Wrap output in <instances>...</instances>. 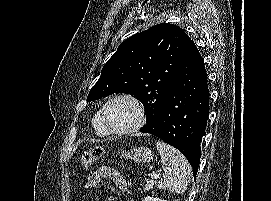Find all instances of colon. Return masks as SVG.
<instances>
[{
	"mask_svg": "<svg viewBox=\"0 0 271 201\" xmlns=\"http://www.w3.org/2000/svg\"><path fill=\"white\" fill-rule=\"evenodd\" d=\"M104 154L102 146H95L85 151L81 157V168L87 170L95 161L100 159Z\"/></svg>",
	"mask_w": 271,
	"mask_h": 201,
	"instance_id": "5ec220e1",
	"label": "colon"
}]
</instances>
